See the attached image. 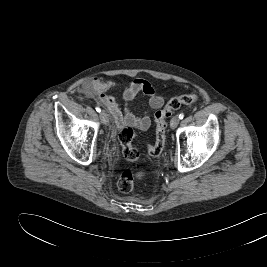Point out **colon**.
Masks as SVG:
<instances>
[{"instance_id": "obj_1", "label": "colon", "mask_w": 267, "mask_h": 267, "mask_svg": "<svg viewBox=\"0 0 267 267\" xmlns=\"http://www.w3.org/2000/svg\"><path fill=\"white\" fill-rule=\"evenodd\" d=\"M198 101L195 93L180 95L172 98L167 105L155 114V142L147 146L150 156H159L164 148L166 139L167 120L172 113L183 106H189ZM137 133L132 127H125L119 133L118 139L122 148V154L128 164L120 173L117 185L118 189L123 193L131 192L136 183L146 177L147 169L140 159L138 150L133 146L132 142L136 138Z\"/></svg>"}]
</instances>
